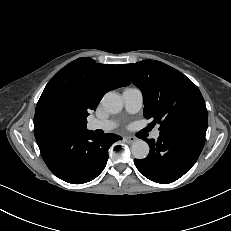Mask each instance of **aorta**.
Returning a JSON list of instances; mask_svg holds the SVG:
<instances>
[{
    "mask_svg": "<svg viewBox=\"0 0 231 231\" xmlns=\"http://www.w3.org/2000/svg\"><path fill=\"white\" fill-rule=\"evenodd\" d=\"M102 105L107 112L116 114L122 110L123 100L119 94L108 92L102 98ZM131 151L136 159H144L148 156L150 148L147 142L137 140L133 143Z\"/></svg>",
    "mask_w": 231,
    "mask_h": 231,
    "instance_id": "762f6f07",
    "label": "aorta"
}]
</instances>
